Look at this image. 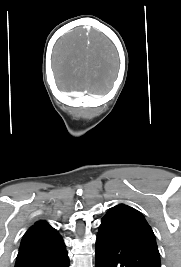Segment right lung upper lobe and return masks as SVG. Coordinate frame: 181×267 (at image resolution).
<instances>
[{
  "mask_svg": "<svg viewBox=\"0 0 181 267\" xmlns=\"http://www.w3.org/2000/svg\"><path fill=\"white\" fill-rule=\"evenodd\" d=\"M63 240L45 221L36 222L22 238L19 252L55 251L64 248Z\"/></svg>",
  "mask_w": 181,
  "mask_h": 267,
  "instance_id": "cb5924a9",
  "label": "right lung upper lobe"
}]
</instances>
